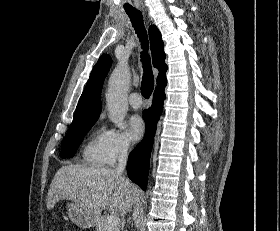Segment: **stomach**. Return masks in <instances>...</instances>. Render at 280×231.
Wrapping results in <instances>:
<instances>
[{"mask_svg": "<svg viewBox=\"0 0 280 231\" xmlns=\"http://www.w3.org/2000/svg\"><path fill=\"white\" fill-rule=\"evenodd\" d=\"M66 207V213L75 225H79V227H94L96 225L93 215L80 203H67Z\"/></svg>", "mask_w": 280, "mask_h": 231, "instance_id": "0dacf381", "label": "stomach"}]
</instances>
